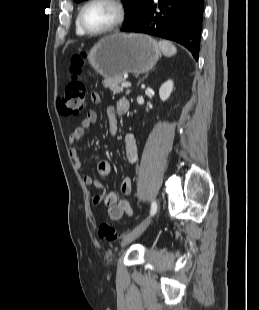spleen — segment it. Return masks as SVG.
I'll use <instances>...</instances> for the list:
<instances>
[{
    "label": "spleen",
    "instance_id": "spleen-1",
    "mask_svg": "<svg viewBox=\"0 0 259 310\" xmlns=\"http://www.w3.org/2000/svg\"><path fill=\"white\" fill-rule=\"evenodd\" d=\"M162 53L166 57H171L176 54L177 49L176 47L169 41L161 40L158 43Z\"/></svg>",
    "mask_w": 259,
    "mask_h": 310
}]
</instances>
